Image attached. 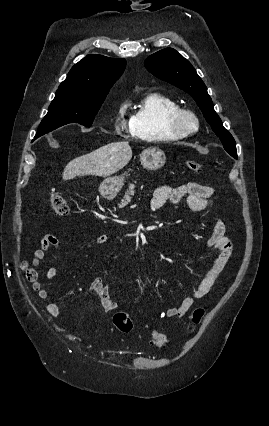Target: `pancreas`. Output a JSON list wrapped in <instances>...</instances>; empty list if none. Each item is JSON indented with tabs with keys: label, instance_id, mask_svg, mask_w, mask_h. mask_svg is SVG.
<instances>
[{
	"label": "pancreas",
	"instance_id": "cf45deb5",
	"mask_svg": "<svg viewBox=\"0 0 269 426\" xmlns=\"http://www.w3.org/2000/svg\"><path fill=\"white\" fill-rule=\"evenodd\" d=\"M134 189H135V185L134 184H129V188L125 192V196L121 200L120 207H124L125 205H127L130 202L132 196L135 193Z\"/></svg>",
	"mask_w": 269,
	"mask_h": 426
}]
</instances>
